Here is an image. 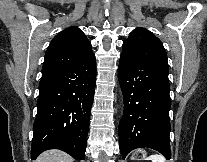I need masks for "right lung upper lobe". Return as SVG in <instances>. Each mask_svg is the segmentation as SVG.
I'll return each instance as SVG.
<instances>
[{"label": "right lung upper lobe", "instance_id": "cb5924a9", "mask_svg": "<svg viewBox=\"0 0 207 162\" xmlns=\"http://www.w3.org/2000/svg\"><path fill=\"white\" fill-rule=\"evenodd\" d=\"M94 57L91 44L77 27H69L51 41L45 54L42 75Z\"/></svg>", "mask_w": 207, "mask_h": 162}]
</instances>
